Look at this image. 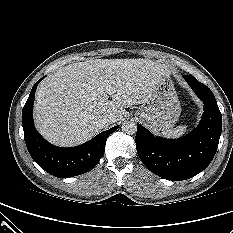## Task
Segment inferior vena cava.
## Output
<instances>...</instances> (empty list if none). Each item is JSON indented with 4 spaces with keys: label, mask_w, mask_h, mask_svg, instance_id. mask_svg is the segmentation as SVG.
<instances>
[{
    "label": "inferior vena cava",
    "mask_w": 233,
    "mask_h": 233,
    "mask_svg": "<svg viewBox=\"0 0 233 233\" xmlns=\"http://www.w3.org/2000/svg\"><path fill=\"white\" fill-rule=\"evenodd\" d=\"M114 119L110 115H102L99 116L98 119H96V123L99 128H104L109 126L111 123H113Z\"/></svg>",
    "instance_id": "inferior-vena-cava-1"
}]
</instances>
